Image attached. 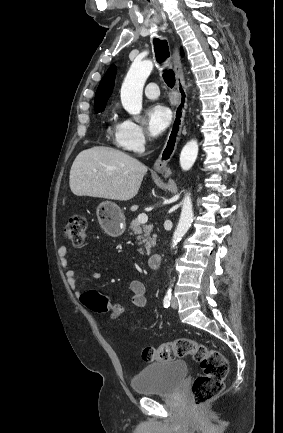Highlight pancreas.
Segmentation results:
<instances>
[{
    "instance_id": "obj_1",
    "label": "pancreas",
    "mask_w": 283,
    "mask_h": 433,
    "mask_svg": "<svg viewBox=\"0 0 283 433\" xmlns=\"http://www.w3.org/2000/svg\"><path fill=\"white\" fill-rule=\"evenodd\" d=\"M129 229L133 231V233H130V235H138L136 239H138V241H141V239H143L141 243H145L144 247L146 251H143V249H139V253H141V255H144V253H146V255H150L151 247H154V245H156V237H154V235L153 237H150V233H152L151 225H145V227H141L137 219H134V221H131Z\"/></svg>"
}]
</instances>
